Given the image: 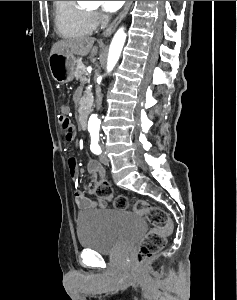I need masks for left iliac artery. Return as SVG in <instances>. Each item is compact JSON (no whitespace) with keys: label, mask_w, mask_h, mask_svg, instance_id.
Wrapping results in <instances>:
<instances>
[{"label":"left iliac artery","mask_w":237,"mask_h":300,"mask_svg":"<svg viewBox=\"0 0 237 300\" xmlns=\"http://www.w3.org/2000/svg\"><path fill=\"white\" fill-rule=\"evenodd\" d=\"M98 141H99L98 134L95 133V132L91 133V145H90V149L96 155H99L102 152L101 148H100V146L98 144Z\"/></svg>","instance_id":"1"}]
</instances>
